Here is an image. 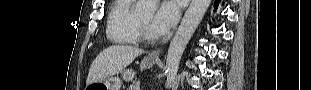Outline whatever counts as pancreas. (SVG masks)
Masks as SVG:
<instances>
[{
    "mask_svg": "<svg viewBox=\"0 0 311 90\" xmlns=\"http://www.w3.org/2000/svg\"><path fill=\"white\" fill-rule=\"evenodd\" d=\"M129 90H139V83L133 82V84L129 87Z\"/></svg>",
    "mask_w": 311,
    "mask_h": 90,
    "instance_id": "pancreas-1",
    "label": "pancreas"
}]
</instances>
